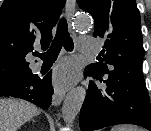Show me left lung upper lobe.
<instances>
[{
    "instance_id": "1",
    "label": "left lung upper lobe",
    "mask_w": 151,
    "mask_h": 131,
    "mask_svg": "<svg viewBox=\"0 0 151 131\" xmlns=\"http://www.w3.org/2000/svg\"><path fill=\"white\" fill-rule=\"evenodd\" d=\"M77 3L95 20L93 36L106 39L100 52L102 58L87 67L99 75L141 68L145 51L135 0H77ZM106 64L112 67L108 69Z\"/></svg>"
}]
</instances>
